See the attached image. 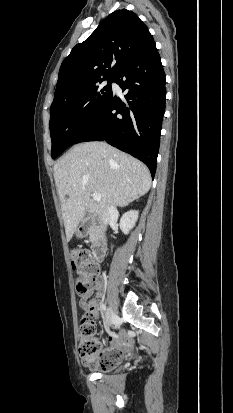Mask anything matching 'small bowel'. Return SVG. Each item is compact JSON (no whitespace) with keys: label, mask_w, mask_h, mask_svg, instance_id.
Segmentation results:
<instances>
[{"label":"small bowel","mask_w":233,"mask_h":413,"mask_svg":"<svg viewBox=\"0 0 233 413\" xmlns=\"http://www.w3.org/2000/svg\"><path fill=\"white\" fill-rule=\"evenodd\" d=\"M95 290V296L89 299L92 291ZM89 293L83 295L79 299V306L86 312H91L95 316H98L101 309V299L104 293V285L101 281L96 280L94 289ZM131 341L121 333H111L108 336V345H100V357H105L109 354H120L121 357L124 353H127L130 349Z\"/></svg>","instance_id":"c3829d8e"}]
</instances>
